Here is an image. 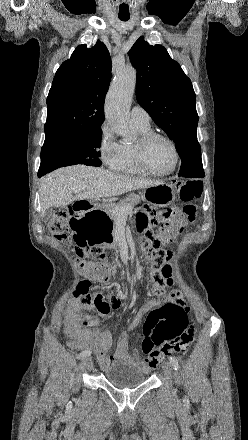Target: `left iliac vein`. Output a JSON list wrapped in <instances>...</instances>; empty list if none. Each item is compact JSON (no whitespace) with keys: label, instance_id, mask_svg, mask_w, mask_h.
Instances as JSON below:
<instances>
[{"label":"left iliac vein","instance_id":"4c4485c4","mask_svg":"<svg viewBox=\"0 0 248 440\" xmlns=\"http://www.w3.org/2000/svg\"><path fill=\"white\" fill-rule=\"evenodd\" d=\"M163 373L165 375V377L167 378V380L169 381V383L171 384L172 382V365L169 362H165L163 365Z\"/></svg>","mask_w":248,"mask_h":440}]
</instances>
